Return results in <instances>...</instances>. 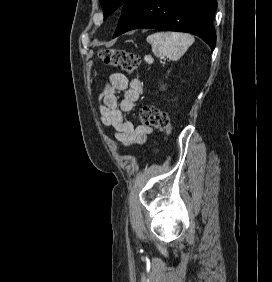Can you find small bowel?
I'll list each match as a JSON object with an SVG mask.
<instances>
[{"label":"small bowel","instance_id":"obj_1","mask_svg":"<svg viewBox=\"0 0 272 282\" xmlns=\"http://www.w3.org/2000/svg\"><path fill=\"white\" fill-rule=\"evenodd\" d=\"M118 92L123 93L119 101ZM142 93L139 79H129L124 73L116 72L108 76L99 95L100 122L114 130L115 138L124 146L145 142L152 127L135 126L133 121H124V114L130 112Z\"/></svg>","mask_w":272,"mask_h":282}]
</instances>
